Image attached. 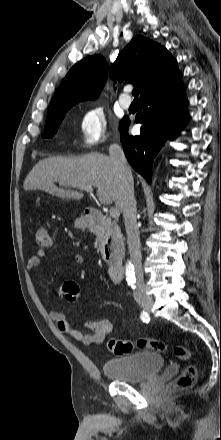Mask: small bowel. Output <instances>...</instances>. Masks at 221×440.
Instances as JSON below:
<instances>
[{"instance_id": "small-bowel-1", "label": "small bowel", "mask_w": 221, "mask_h": 440, "mask_svg": "<svg viewBox=\"0 0 221 440\" xmlns=\"http://www.w3.org/2000/svg\"><path fill=\"white\" fill-rule=\"evenodd\" d=\"M45 255V250H40L36 255L32 256L27 264L28 271L33 272L39 269ZM72 262L76 265H81L84 262V258L81 254H74L72 255ZM49 316L57 324L61 332L87 346L102 343L113 329L109 320H88L84 323V327L89 330V333H83L70 323L68 315L62 311L50 310Z\"/></svg>"}]
</instances>
